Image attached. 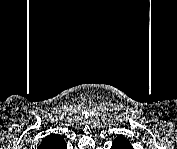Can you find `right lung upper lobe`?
Instances as JSON below:
<instances>
[{"instance_id":"cb5924a9","label":"right lung upper lobe","mask_w":177,"mask_h":149,"mask_svg":"<svg viewBox=\"0 0 177 149\" xmlns=\"http://www.w3.org/2000/svg\"><path fill=\"white\" fill-rule=\"evenodd\" d=\"M55 137L57 138L56 140H53L51 143H46L47 146H43V147L52 148V149H62L57 147V144H61L63 142V138L60 135H56V134Z\"/></svg>"}]
</instances>
